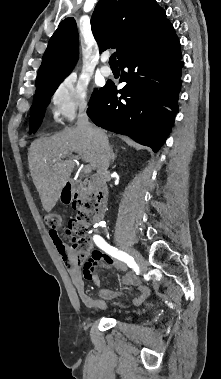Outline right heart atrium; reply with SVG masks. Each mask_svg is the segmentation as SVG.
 <instances>
[{"instance_id": "obj_1", "label": "right heart atrium", "mask_w": 221, "mask_h": 379, "mask_svg": "<svg viewBox=\"0 0 221 379\" xmlns=\"http://www.w3.org/2000/svg\"><path fill=\"white\" fill-rule=\"evenodd\" d=\"M54 116L65 122H72L78 113L89 107L88 86L73 76L61 80L49 97Z\"/></svg>"}]
</instances>
